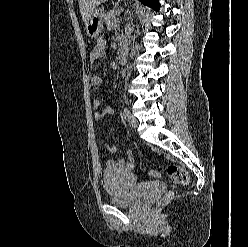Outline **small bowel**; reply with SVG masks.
Wrapping results in <instances>:
<instances>
[{
  "mask_svg": "<svg viewBox=\"0 0 248 247\" xmlns=\"http://www.w3.org/2000/svg\"><path fill=\"white\" fill-rule=\"evenodd\" d=\"M105 48H106V41L104 38H99L93 47L91 53H90V62L93 64L100 58L104 57L105 55ZM90 84L93 87H98L102 84V78L98 74H93L90 78ZM93 109L98 110L101 106V103L99 100H94L93 101ZM113 113L112 108H106L102 112H96L95 113V120L99 121L102 118H104L106 115H110ZM106 149L109 151V153L114 154L117 152V148L113 145L106 144ZM106 164L111 167V166H120L125 169L131 170L134 167V158L132 155V151L128 150L126 153V157L124 159H114V158H109L106 162Z\"/></svg>",
  "mask_w": 248,
  "mask_h": 247,
  "instance_id": "obj_1",
  "label": "small bowel"
}]
</instances>
